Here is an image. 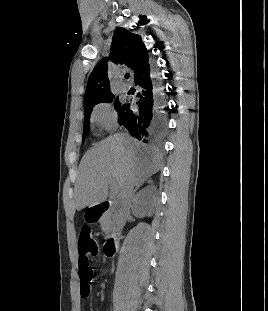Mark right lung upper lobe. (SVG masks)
Here are the masks:
<instances>
[{
  "mask_svg": "<svg viewBox=\"0 0 268 311\" xmlns=\"http://www.w3.org/2000/svg\"><path fill=\"white\" fill-rule=\"evenodd\" d=\"M110 60L131 67L134 70V77L149 64L148 51L141 37L121 27L114 31ZM107 69V59L103 58L91 72L84 97V113L112 95Z\"/></svg>",
  "mask_w": 268,
  "mask_h": 311,
  "instance_id": "obj_1",
  "label": "right lung upper lobe"
}]
</instances>
